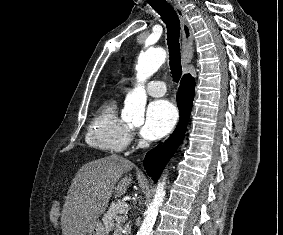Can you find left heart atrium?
I'll use <instances>...</instances> for the list:
<instances>
[{"label": "left heart atrium", "instance_id": "left-heart-atrium-1", "mask_svg": "<svg viewBox=\"0 0 283 235\" xmlns=\"http://www.w3.org/2000/svg\"><path fill=\"white\" fill-rule=\"evenodd\" d=\"M177 112L167 100H156L147 108L141 135L148 140L165 136L175 125Z\"/></svg>", "mask_w": 283, "mask_h": 235}]
</instances>
